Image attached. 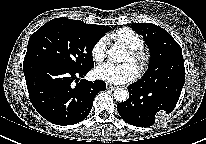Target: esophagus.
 I'll return each instance as SVG.
<instances>
[{"label": "esophagus", "instance_id": "obj_1", "mask_svg": "<svg viewBox=\"0 0 206 144\" xmlns=\"http://www.w3.org/2000/svg\"><path fill=\"white\" fill-rule=\"evenodd\" d=\"M106 87L108 90H115V88H116L115 86L110 85V84H107Z\"/></svg>", "mask_w": 206, "mask_h": 144}]
</instances>
